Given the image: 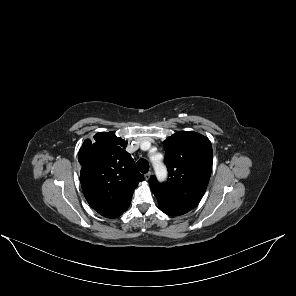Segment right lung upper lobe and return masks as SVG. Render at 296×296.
<instances>
[{
    "mask_svg": "<svg viewBox=\"0 0 296 296\" xmlns=\"http://www.w3.org/2000/svg\"><path fill=\"white\" fill-rule=\"evenodd\" d=\"M94 139L85 140L78 154L86 200L95 210L129 205L134 189L144 177L125 151L127 141L112 132H99Z\"/></svg>",
    "mask_w": 296,
    "mask_h": 296,
    "instance_id": "cb5924a9",
    "label": "right lung upper lobe"
}]
</instances>
